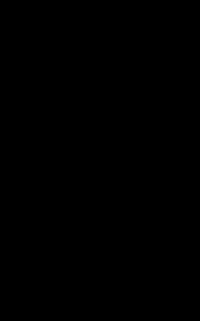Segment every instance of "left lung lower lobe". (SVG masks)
<instances>
[{
  "instance_id": "left-lung-lower-lobe-1",
  "label": "left lung lower lobe",
  "mask_w": 200,
  "mask_h": 321,
  "mask_svg": "<svg viewBox=\"0 0 200 321\" xmlns=\"http://www.w3.org/2000/svg\"><path fill=\"white\" fill-rule=\"evenodd\" d=\"M172 184V179L155 176L124 183L113 203L118 218L134 223L151 216L164 205Z\"/></svg>"
}]
</instances>
